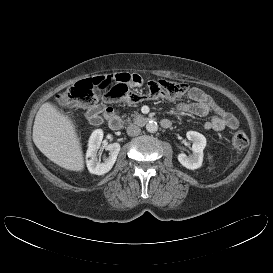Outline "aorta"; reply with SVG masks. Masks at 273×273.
<instances>
[{"instance_id": "obj_1", "label": "aorta", "mask_w": 273, "mask_h": 273, "mask_svg": "<svg viewBox=\"0 0 273 273\" xmlns=\"http://www.w3.org/2000/svg\"><path fill=\"white\" fill-rule=\"evenodd\" d=\"M146 130L150 133H155L158 130V124L155 121H149L146 124Z\"/></svg>"}]
</instances>
